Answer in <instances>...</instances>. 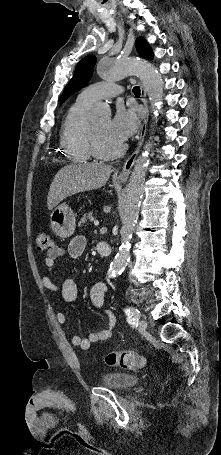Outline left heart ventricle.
Here are the masks:
<instances>
[{"label": "left heart ventricle", "mask_w": 221, "mask_h": 455, "mask_svg": "<svg viewBox=\"0 0 221 455\" xmlns=\"http://www.w3.org/2000/svg\"><path fill=\"white\" fill-rule=\"evenodd\" d=\"M110 117H104L95 123L93 126L97 132L98 140L101 148L106 151L115 149L119 144L122 143L117 139L110 130Z\"/></svg>", "instance_id": "obj_1"}]
</instances>
